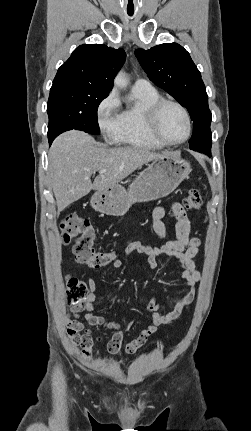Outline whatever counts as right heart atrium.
Here are the masks:
<instances>
[{
    "label": "right heart atrium",
    "instance_id": "right-heart-atrium-1",
    "mask_svg": "<svg viewBox=\"0 0 251 431\" xmlns=\"http://www.w3.org/2000/svg\"><path fill=\"white\" fill-rule=\"evenodd\" d=\"M96 119L101 132L106 137L113 138L121 122L120 101L114 90L98 103Z\"/></svg>",
    "mask_w": 251,
    "mask_h": 431
}]
</instances>
